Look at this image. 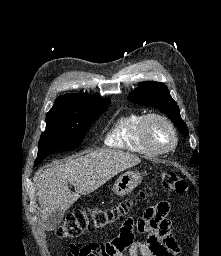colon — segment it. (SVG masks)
Masks as SVG:
<instances>
[{
    "label": "colon",
    "mask_w": 221,
    "mask_h": 256,
    "mask_svg": "<svg viewBox=\"0 0 221 256\" xmlns=\"http://www.w3.org/2000/svg\"><path fill=\"white\" fill-rule=\"evenodd\" d=\"M162 187L168 191L184 193L188 189V183L184 178L174 172H165L160 179ZM152 187L142 190L138 197H134L106 208L77 209L69 213L64 221L57 227L56 234L60 238H74L89 231L102 230L114 223H122V227L128 226L126 214L138 199L150 195ZM77 248L73 247L72 251Z\"/></svg>",
    "instance_id": "obj_1"
}]
</instances>
